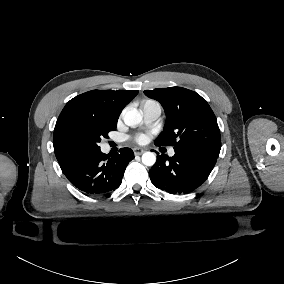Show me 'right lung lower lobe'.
Here are the masks:
<instances>
[{"label":"right lung lower lobe","mask_w":284,"mask_h":284,"mask_svg":"<svg viewBox=\"0 0 284 284\" xmlns=\"http://www.w3.org/2000/svg\"><path fill=\"white\" fill-rule=\"evenodd\" d=\"M134 159L130 148L120 149L111 157L101 150L82 153L60 164L68 180L88 195L109 194L117 189L128 163Z\"/></svg>","instance_id":"98d812e1"}]
</instances>
